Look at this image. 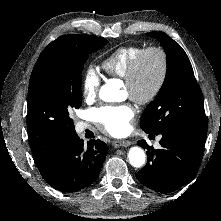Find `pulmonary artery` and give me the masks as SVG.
I'll return each mask as SVG.
<instances>
[{"label": "pulmonary artery", "instance_id": "1", "mask_svg": "<svg viewBox=\"0 0 221 221\" xmlns=\"http://www.w3.org/2000/svg\"><path fill=\"white\" fill-rule=\"evenodd\" d=\"M87 127H88L87 124L82 123V122L76 124V130L79 133L83 132Z\"/></svg>", "mask_w": 221, "mask_h": 221}]
</instances>
